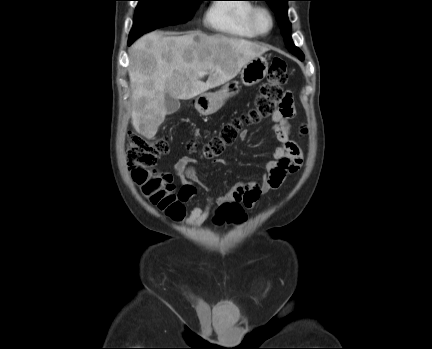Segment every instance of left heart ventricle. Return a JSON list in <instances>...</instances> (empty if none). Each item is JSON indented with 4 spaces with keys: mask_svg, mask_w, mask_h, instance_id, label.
Returning <instances> with one entry per match:
<instances>
[{
    "mask_svg": "<svg viewBox=\"0 0 432 349\" xmlns=\"http://www.w3.org/2000/svg\"><path fill=\"white\" fill-rule=\"evenodd\" d=\"M258 25H259L261 30H263V31L268 30V28L270 26V21H269V18L267 17L266 14H264V13L259 14Z\"/></svg>",
    "mask_w": 432,
    "mask_h": 349,
    "instance_id": "1",
    "label": "left heart ventricle"
}]
</instances>
